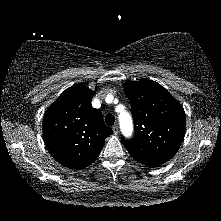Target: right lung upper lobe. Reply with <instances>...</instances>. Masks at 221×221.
<instances>
[{"label": "right lung upper lobe", "mask_w": 221, "mask_h": 221, "mask_svg": "<svg viewBox=\"0 0 221 221\" xmlns=\"http://www.w3.org/2000/svg\"><path fill=\"white\" fill-rule=\"evenodd\" d=\"M95 91L83 84L66 89L46 110L43 135L50 154L63 166L82 169L91 164L112 130L91 105Z\"/></svg>", "instance_id": "1"}]
</instances>
